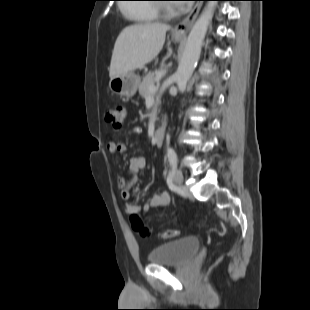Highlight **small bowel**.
<instances>
[{"label": "small bowel", "mask_w": 310, "mask_h": 310, "mask_svg": "<svg viewBox=\"0 0 310 310\" xmlns=\"http://www.w3.org/2000/svg\"><path fill=\"white\" fill-rule=\"evenodd\" d=\"M131 132L139 134L141 129L139 127H133ZM106 150L109 154L119 155L125 151L124 144L109 140L106 145ZM145 159L141 156H134L130 159L129 167L125 175L119 177L117 186L121 191V197L125 202V209L129 214H137L141 210L146 213L152 208L166 207L170 202V196L168 193L163 192L151 196L141 209L138 205L131 201L130 189L134 187L139 181V174L145 167Z\"/></svg>", "instance_id": "c3829d8e"}]
</instances>
